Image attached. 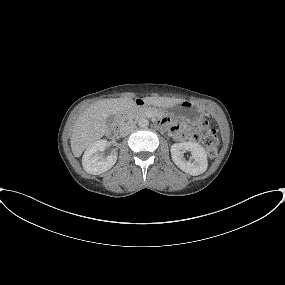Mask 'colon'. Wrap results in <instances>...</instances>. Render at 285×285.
<instances>
[{"mask_svg":"<svg viewBox=\"0 0 285 285\" xmlns=\"http://www.w3.org/2000/svg\"><path fill=\"white\" fill-rule=\"evenodd\" d=\"M192 136L194 138L202 140L209 156H214L217 152V146L219 143L217 132L213 128H208L203 132H199L197 128H192Z\"/></svg>","mask_w":285,"mask_h":285,"instance_id":"5ec220e1","label":"colon"}]
</instances>
